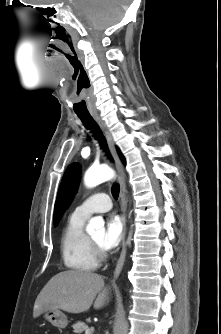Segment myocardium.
Instances as JSON below:
<instances>
[{
	"label": "myocardium",
	"instance_id": "1",
	"mask_svg": "<svg viewBox=\"0 0 221 334\" xmlns=\"http://www.w3.org/2000/svg\"><path fill=\"white\" fill-rule=\"evenodd\" d=\"M91 246L93 248V251L97 257V259H103L104 258V252L101 247V245L97 244L92 238H89Z\"/></svg>",
	"mask_w": 221,
	"mask_h": 334
}]
</instances>
